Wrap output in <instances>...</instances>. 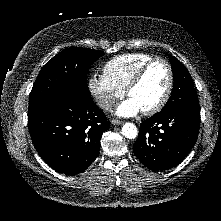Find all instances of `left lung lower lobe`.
<instances>
[{"label":"left lung lower lobe","instance_id":"0a47b994","mask_svg":"<svg viewBox=\"0 0 221 221\" xmlns=\"http://www.w3.org/2000/svg\"><path fill=\"white\" fill-rule=\"evenodd\" d=\"M199 129L200 110L186 107L161 110L141 123L133 152L153 171L170 169L193 148Z\"/></svg>","mask_w":221,"mask_h":221}]
</instances>
